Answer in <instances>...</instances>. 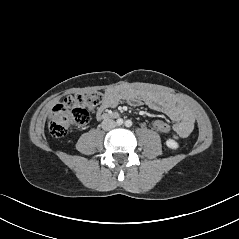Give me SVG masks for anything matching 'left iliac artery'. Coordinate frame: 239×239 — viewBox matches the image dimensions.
<instances>
[{
    "label": "left iliac artery",
    "mask_w": 239,
    "mask_h": 239,
    "mask_svg": "<svg viewBox=\"0 0 239 239\" xmlns=\"http://www.w3.org/2000/svg\"><path fill=\"white\" fill-rule=\"evenodd\" d=\"M125 126L126 127H131L132 126V121L131 120H126Z\"/></svg>",
    "instance_id": "1"
}]
</instances>
